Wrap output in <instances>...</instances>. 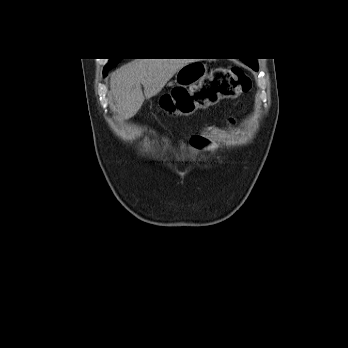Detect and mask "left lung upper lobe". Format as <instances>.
Returning a JSON list of instances; mask_svg holds the SVG:
<instances>
[{"label": "left lung upper lobe", "mask_w": 348, "mask_h": 348, "mask_svg": "<svg viewBox=\"0 0 348 348\" xmlns=\"http://www.w3.org/2000/svg\"><path fill=\"white\" fill-rule=\"evenodd\" d=\"M243 62L247 64L248 66H250L255 71H258V64L256 59H247V60H243Z\"/></svg>", "instance_id": "left-lung-upper-lobe-1"}]
</instances>
